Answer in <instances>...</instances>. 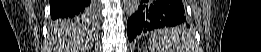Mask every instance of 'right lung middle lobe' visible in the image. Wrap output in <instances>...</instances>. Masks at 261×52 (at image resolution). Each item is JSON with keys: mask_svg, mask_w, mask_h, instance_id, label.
Instances as JSON below:
<instances>
[{"mask_svg": "<svg viewBox=\"0 0 261 52\" xmlns=\"http://www.w3.org/2000/svg\"><path fill=\"white\" fill-rule=\"evenodd\" d=\"M56 21L53 22L54 25H59V26H70L73 25V23H79V22H83V23H93L95 21V17H89L87 15H81V16H77L74 18H59V19H55Z\"/></svg>", "mask_w": 261, "mask_h": 52, "instance_id": "1", "label": "right lung middle lobe"}]
</instances>
